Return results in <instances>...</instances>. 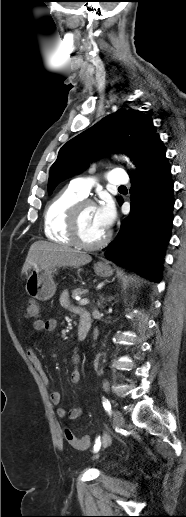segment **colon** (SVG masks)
<instances>
[{"label": "colon", "mask_w": 186, "mask_h": 517, "mask_svg": "<svg viewBox=\"0 0 186 517\" xmlns=\"http://www.w3.org/2000/svg\"><path fill=\"white\" fill-rule=\"evenodd\" d=\"M41 310L37 301L29 300L26 305V317L29 319H36L40 316ZM65 439L67 442L77 450H85L90 446L91 440L89 436L77 437L71 430L65 429Z\"/></svg>", "instance_id": "1"}]
</instances>
